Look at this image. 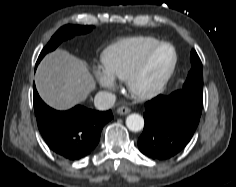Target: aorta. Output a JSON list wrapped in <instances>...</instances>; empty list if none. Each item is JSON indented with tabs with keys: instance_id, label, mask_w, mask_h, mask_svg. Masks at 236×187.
<instances>
[{
	"instance_id": "762f6f07",
	"label": "aorta",
	"mask_w": 236,
	"mask_h": 187,
	"mask_svg": "<svg viewBox=\"0 0 236 187\" xmlns=\"http://www.w3.org/2000/svg\"><path fill=\"white\" fill-rule=\"evenodd\" d=\"M126 126L130 131L138 132L144 127V119L141 115L133 113L127 116Z\"/></svg>"
}]
</instances>
